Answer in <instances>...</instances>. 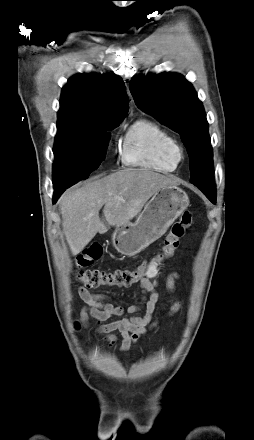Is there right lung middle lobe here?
Instances as JSON below:
<instances>
[{"instance_id":"obj_1","label":"right lung middle lobe","mask_w":254,"mask_h":440,"mask_svg":"<svg viewBox=\"0 0 254 440\" xmlns=\"http://www.w3.org/2000/svg\"><path fill=\"white\" fill-rule=\"evenodd\" d=\"M120 122L93 124L72 119L58 120L53 149V185L71 186L88 178L105 159L109 141L107 131Z\"/></svg>"}]
</instances>
